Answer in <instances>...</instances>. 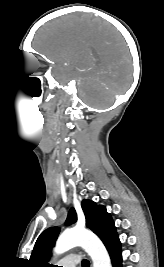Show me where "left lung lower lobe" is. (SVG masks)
<instances>
[{"label": "left lung lower lobe", "instance_id": "left-lung-lower-lobe-1", "mask_svg": "<svg viewBox=\"0 0 164 267\" xmlns=\"http://www.w3.org/2000/svg\"><path fill=\"white\" fill-rule=\"evenodd\" d=\"M103 243L110 254L113 267H121V244L116 230Z\"/></svg>", "mask_w": 164, "mask_h": 267}]
</instances>
